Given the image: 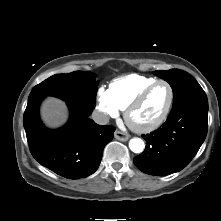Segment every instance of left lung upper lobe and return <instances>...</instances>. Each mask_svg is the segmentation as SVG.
<instances>
[{"instance_id":"1","label":"left lung upper lobe","mask_w":221,"mask_h":221,"mask_svg":"<svg viewBox=\"0 0 221 221\" xmlns=\"http://www.w3.org/2000/svg\"><path fill=\"white\" fill-rule=\"evenodd\" d=\"M154 74L170 84L174 96L173 103L187 94L203 90L190 74L180 69L159 70Z\"/></svg>"}]
</instances>
